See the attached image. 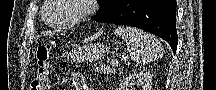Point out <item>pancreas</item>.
Returning a JSON list of instances; mask_svg holds the SVG:
<instances>
[{"mask_svg": "<svg viewBox=\"0 0 216 90\" xmlns=\"http://www.w3.org/2000/svg\"><path fill=\"white\" fill-rule=\"evenodd\" d=\"M108 68L109 66H103L100 62H96V64H94V70L95 72H98V74H106V72H109Z\"/></svg>", "mask_w": 216, "mask_h": 90, "instance_id": "1", "label": "pancreas"}]
</instances>
